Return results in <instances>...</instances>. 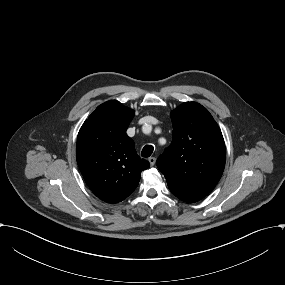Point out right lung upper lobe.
Instances as JSON below:
<instances>
[{
  "label": "right lung upper lobe",
  "mask_w": 285,
  "mask_h": 285,
  "mask_svg": "<svg viewBox=\"0 0 285 285\" xmlns=\"http://www.w3.org/2000/svg\"><path fill=\"white\" fill-rule=\"evenodd\" d=\"M135 112L116 100L105 102L82 125L76 158L84 180L101 200L117 203L138 186L150 163L141 159L126 130Z\"/></svg>",
  "instance_id": "cb5924a9"
}]
</instances>
